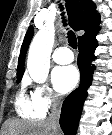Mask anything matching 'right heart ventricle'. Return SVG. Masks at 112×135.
I'll return each mask as SVG.
<instances>
[{"mask_svg": "<svg viewBox=\"0 0 112 135\" xmlns=\"http://www.w3.org/2000/svg\"><path fill=\"white\" fill-rule=\"evenodd\" d=\"M15 108L17 113L25 119L41 120L45 116V113L34 104L31 94L27 93L25 87H22L16 95Z\"/></svg>", "mask_w": 112, "mask_h": 135, "instance_id": "e07e8e85", "label": "right heart ventricle"}]
</instances>
